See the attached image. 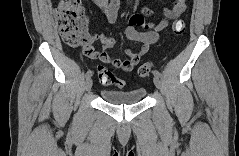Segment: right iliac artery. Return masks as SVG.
Returning <instances> with one entry per match:
<instances>
[{
  "label": "right iliac artery",
  "mask_w": 239,
  "mask_h": 156,
  "mask_svg": "<svg viewBox=\"0 0 239 156\" xmlns=\"http://www.w3.org/2000/svg\"><path fill=\"white\" fill-rule=\"evenodd\" d=\"M85 76L87 79L90 78L92 76V71L88 70Z\"/></svg>",
  "instance_id": "right-iliac-artery-1"
}]
</instances>
